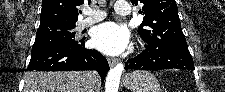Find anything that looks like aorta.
<instances>
[{"label":"aorta","mask_w":225,"mask_h":92,"mask_svg":"<svg viewBox=\"0 0 225 92\" xmlns=\"http://www.w3.org/2000/svg\"><path fill=\"white\" fill-rule=\"evenodd\" d=\"M123 69L124 65L122 63H118L109 71L105 82V92H118Z\"/></svg>","instance_id":"obj_1"}]
</instances>
